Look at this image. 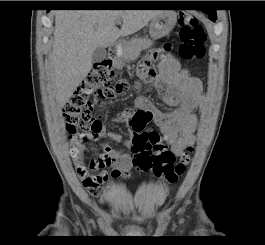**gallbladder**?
Returning <instances> with one entry per match:
<instances>
[{"label":"gallbladder","instance_id":"1","mask_svg":"<svg viewBox=\"0 0 265 245\" xmlns=\"http://www.w3.org/2000/svg\"><path fill=\"white\" fill-rule=\"evenodd\" d=\"M106 55H107V51L105 48L97 47L93 52L92 62L93 63L100 62L106 58Z\"/></svg>","mask_w":265,"mask_h":245}]
</instances>
